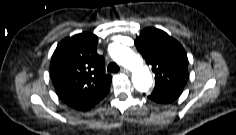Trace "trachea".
Wrapping results in <instances>:
<instances>
[{"label": "trachea", "mask_w": 236, "mask_h": 135, "mask_svg": "<svg viewBox=\"0 0 236 135\" xmlns=\"http://www.w3.org/2000/svg\"><path fill=\"white\" fill-rule=\"evenodd\" d=\"M119 70H120V67L114 62L109 63L107 67V71L111 73L118 72Z\"/></svg>", "instance_id": "1"}]
</instances>
